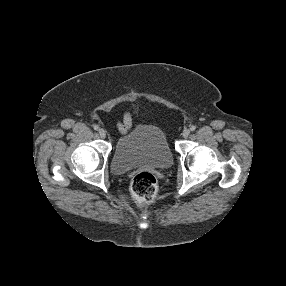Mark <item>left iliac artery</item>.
Instances as JSON below:
<instances>
[{
	"label": "left iliac artery",
	"mask_w": 286,
	"mask_h": 286,
	"mask_svg": "<svg viewBox=\"0 0 286 286\" xmlns=\"http://www.w3.org/2000/svg\"><path fill=\"white\" fill-rule=\"evenodd\" d=\"M195 129H196V126H194V125H192V126L190 127V130H191V131H195Z\"/></svg>",
	"instance_id": "1"
}]
</instances>
